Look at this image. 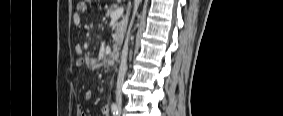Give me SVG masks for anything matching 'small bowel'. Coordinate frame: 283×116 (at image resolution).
I'll list each match as a JSON object with an SVG mask.
<instances>
[{
    "instance_id": "obj_1",
    "label": "small bowel",
    "mask_w": 283,
    "mask_h": 116,
    "mask_svg": "<svg viewBox=\"0 0 283 116\" xmlns=\"http://www.w3.org/2000/svg\"><path fill=\"white\" fill-rule=\"evenodd\" d=\"M72 21L74 23V25H80L81 22H82V17H81V13L80 12H75L72 16ZM75 52L80 55V56H83L84 55V50L82 48V46L80 44H77L75 46ZM80 64H87V65H92L93 64V61L88 58V57H83L80 61H79ZM94 97V94L92 91H87L85 93V99L86 100H91L92 98ZM101 114L103 116H109L110 115V109H109V106L108 105H104L102 106L101 108ZM77 115L79 116H85L87 115L85 110L81 107H79L77 109Z\"/></svg>"
}]
</instances>
